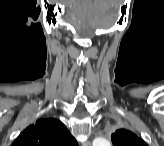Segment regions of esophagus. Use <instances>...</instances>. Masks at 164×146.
Instances as JSON below:
<instances>
[{
    "instance_id": "obj_1",
    "label": "esophagus",
    "mask_w": 164,
    "mask_h": 146,
    "mask_svg": "<svg viewBox=\"0 0 164 146\" xmlns=\"http://www.w3.org/2000/svg\"><path fill=\"white\" fill-rule=\"evenodd\" d=\"M84 146H91V145H90V142H89V141L85 142V143H84Z\"/></svg>"
}]
</instances>
